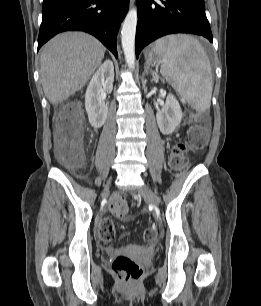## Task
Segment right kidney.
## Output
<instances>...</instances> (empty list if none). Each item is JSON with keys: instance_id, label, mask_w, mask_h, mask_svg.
Returning <instances> with one entry per match:
<instances>
[{"instance_id": "obj_1", "label": "right kidney", "mask_w": 261, "mask_h": 306, "mask_svg": "<svg viewBox=\"0 0 261 306\" xmlns=\"http://www.w3.org/2000/svg\"><path fill=\"white\" fill-rule=\"evenodd\" d=\"M113 81V62L106 60L94 73L85 94V109L93 128H100L105 123L108 105L104 102V98L106 94L111 93Z\"/></svg>"}]
</instances>
